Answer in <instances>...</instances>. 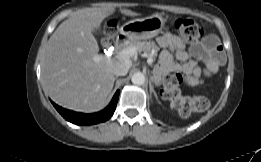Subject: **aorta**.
I'll use <instances>...</instances> for the list:
<instances>
[{"label": "aorta", "instance_id": "aorta-1", "mask_svg": "<svg viewBox=\"0 0 261 162\" xmlns=\"http://www.w3.org/2000/svg\"><path fill=\"white\" fill-rule=\"evenodd\" d=\"M131 81L133 84L142 85L145 82V75L141 72H136L132 75Z\"/></svg>", "mask_w": 261, "mask_h": 162}]
</instances>
